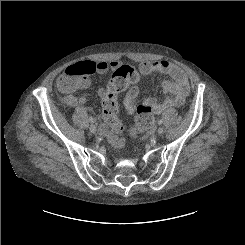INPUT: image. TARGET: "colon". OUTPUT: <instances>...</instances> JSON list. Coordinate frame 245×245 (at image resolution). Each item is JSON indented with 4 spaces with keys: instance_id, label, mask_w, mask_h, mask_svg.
I'll return each mask as SVG.
<instances>
[{
    "instance_id": "obj_1",
    "label": "colon",
    "mask_w": 245,
    "mask_h": 245,
    "mask_svg": "<svg viewBox=\"0 0 245 245\" xmlns=\"http://www.w3.org/2000/svg\"><path fill=\"white\" fill-rule=\"evenodd\" d=\"M96 70L94 62L82 61L70 65L67 68L68 76L62 79L60 87L71 92L78 88L84 87L83 79L93 74ZM139 81V74L136 70L124 67L110 81L109 92L102 104L103 117L110 127L109 141L116 148H122L125 144L124 139L120 136L124 132L121 121L118 117L119 107L116 101L118 93L130 85ZM154 122V115L149 104H140L137 107L135 118V128L133 132H144L148 130Z\"/></svg>"
}]
</instances>
